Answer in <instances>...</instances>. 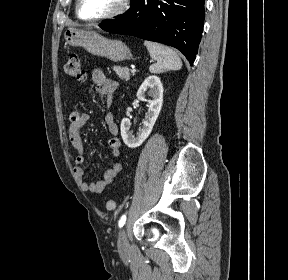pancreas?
<instances>
[{
  "mask_svg": "<svg viewBox=\"0 0 288 280\" xmlns=\"http://www.w3.org/2000/svg\"><path fill=\"white\" fill-rule=\"evenodd\" d=\"M113 71L118 75L122 80L128 81L130 79L129 69L127 67L113 66Z\"/></svg>",
  "mask_w": 288,
  "mask_h": 280,
  "instance_id": "pancreas-1",
  "label": "pancreas"
}]
</instances>
